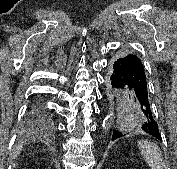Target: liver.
<instances>
[{"label": "liver", "instance_id": "6515ba94", "mask_svg": "<svg viewBox=\"0 0 177 169\" xmlns=\"http://www.w3.org/2000/svg\"><path fill=\"white\" fill-rule=\"evenodd\" d=\"M22 150V144H20L17 148H16V153H15V156L17 154H19V152Z\"/></svg>", "mask_w": 177, "mask_h": 169}]
</instances>
